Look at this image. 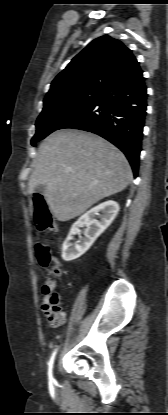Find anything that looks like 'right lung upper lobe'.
<instances>
[{
    "label": "right lung upper lobe",
    "mask_w": 168,
    "mask_h": 415,
    "mask_svg": "<svg viewBox=\"0 0 168 415\" xmlns=\"http://www.w3.org/2000/svg\"><path fill=\"white\" fill-rule=\"evenodd\" d=\"M139 63L120 40L101 36L90 42L51 83L44 102L79 90H104Z\"/></svg>",
    "instance_id": "1"
}]
</instances>
